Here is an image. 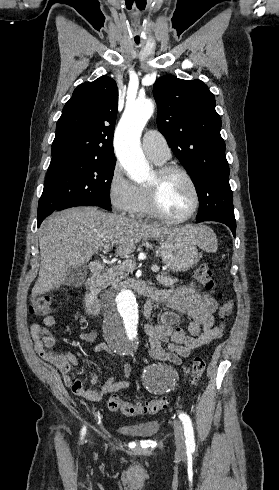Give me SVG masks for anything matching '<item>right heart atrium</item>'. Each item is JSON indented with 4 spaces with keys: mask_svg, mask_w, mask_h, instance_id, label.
Masks as SVG:
<instances>
[{
    "mask_svg": "<svg viewBox=\"0 0 279 490\" xmlns=\"http://www.w3.org/2000/svg\"><path fill=\"white\" fill-rule=\"evenodd\" d=\"M108 199L114 212L120 216H137L142 208V196L139 187L125 175L116 161L107 180Z\"/></svg>",
    "mask_w": 279,
    "mask_h": 490,
    "instance_id": "obj_1",
    "label": "right heart atrium"
}]
</instances>
